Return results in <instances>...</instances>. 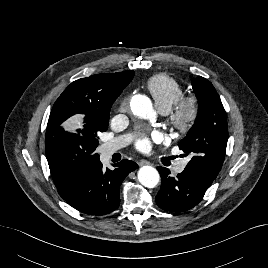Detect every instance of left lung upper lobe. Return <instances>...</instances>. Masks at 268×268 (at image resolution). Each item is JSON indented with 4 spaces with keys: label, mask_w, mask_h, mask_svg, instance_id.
I'll return each instance as SVG.
<instances>
[{
    "label": "left lung upper lobe",
    "mask_w": 268,
    "mask_h": 268,
    "mask_svg": "<svg viewBox=\"0 0 268 268\" xmlns=\"http://www.w3.org/2000/svg\"><path fill=\"white\" fill-rule=\"evenodd\" d=\"M192 87L199 100L198 115L187 136L178 145L185 155L192 156L185 169L213 182L226 152V112L218 93L207 79L201 76L194 78Z\"/></svg>",
    "instance_id": "obj_1"
}]
</instances>
